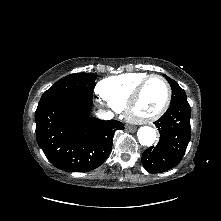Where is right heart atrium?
Returning <instances> with one entry per match:
<instances>
[{
  "mask_svg": "<svg viewBox=\"0 0 221 221\" xmlns=\"http://www.w3.org/2000/svg\"><path fill=\"white\" fill-rule=\"evenodd\" d=\"M99 103H100L102 106H105V107H108V108H112V107H110L106 102L103 104L101 101H99Z\"/></svg>",
  "mask_w": 221,
  "mask_h": 221,
  "instance_id": "obj_1",
  "label": "right heart atrium"
}]
</instances>
